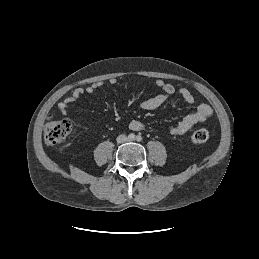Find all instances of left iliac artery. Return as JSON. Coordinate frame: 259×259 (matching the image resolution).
<instances>
[{"label":"left iliac artery","instance_id":"44dca946","mask_svg":"<svg viewBox=\"0 0 259 259\" xmlns=\"http://www.w3.org/2000/svg\"><path fill=\"white\" fill-rule=\"evenodd\" d=\"M136 140H137L138 142H140V141H142V137H141L140 135H138V136H136Z\"/></svg>","mask_w":259,"mask_h":259}]
</instances>
